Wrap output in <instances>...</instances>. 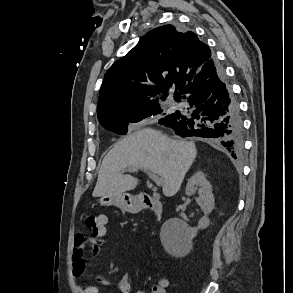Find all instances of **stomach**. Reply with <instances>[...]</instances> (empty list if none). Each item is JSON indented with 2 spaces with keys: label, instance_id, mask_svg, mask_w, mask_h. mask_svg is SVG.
I'll use <instances>...</instances> for the list:
<instances>
[{
  "label": "stomach",
  "instance_id": "1",
  "mask_svg": "<svg viewBox=\"0 0 293 293\" xmlns=\"http://www.w3.org/2000/svg\"><path fill=\"white\" fill-rule=\"evenodd\" d=\"M99 203L102 206H117L127 212H131L137 207L135 198L125 192L114 196H102L99 199Z\"/></svg>",
  "mask_w": 293,
  "mask_h": 293
}]
</instances>
